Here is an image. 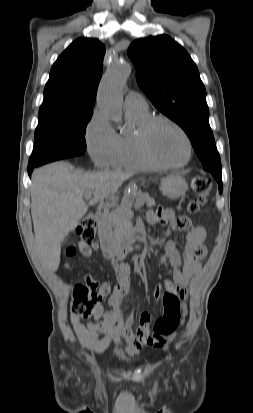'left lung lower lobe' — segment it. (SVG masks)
I'll use <instances>...</instances> for the list:
<instances>
[{
  "mask_svg": "<svg viewBox=\"0 0 253 413\" xmlns=\"http://www.w3.org/2000/svg\"><path fill=\"white\" fill-rule=\"evenodd\" d=\"M214 178L216 179V181L218 182V187H219V192L222 193L223 190V184H222V176L221 174H215V173H211Z\"/></svg>",
  "mask_w": 253,
  "mask_h": 413,
  "instance_id": "left-lung-lower-lobe-1",
  "label": "left lung lower lobe"
}]
</instances>
